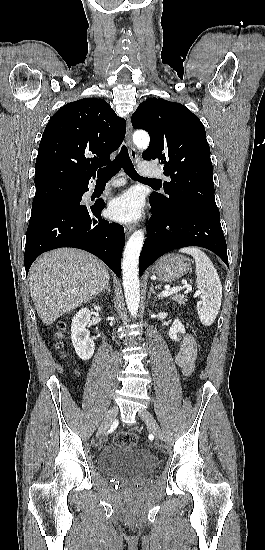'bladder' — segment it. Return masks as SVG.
<instances>
[{"label":"bladder","instance_id":"obj_1","mask_svg":"<svg viewBox=\"0 0 265 550\" xmlns=\"http://www.w3.org/2000/svg\"><path fill=\"white\" fill-rule=\"evenodd\" d=\"M98 466L107 475L142 479L151 474L155 460L146 448L115 444L102 451Z\"/></svg>","mask_w":265,"mask_h":550}]
</instances>
